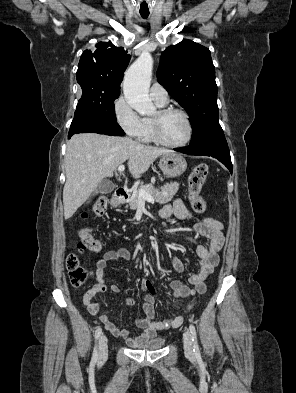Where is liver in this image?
<instances>
[{"label":"liver","instance_id":"liver-1","mask_svg":"<svg viewBox=\"0 0 296 393\" xmlns=\"http://www.w3.org/2000/svg\"><path fill=\"white\" fill-rule=\"evenodd\" d=\"M168 153L172 151L143 145L128 137L74 135L67 143L65 155L64 218H71L98 184L113 176L119 165L128 161L129 172L139 178L158 157Z\"/></svg>","mask_w":296,"mask_h":393}]
</instances>
